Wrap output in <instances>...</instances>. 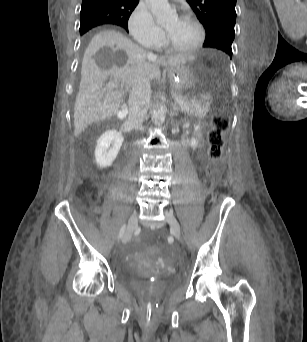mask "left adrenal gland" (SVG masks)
<instances>
[{"label":"left adrenal gland","mask_w":307,"mask_h":342,"mask_svg":"<svg viewBox=\"0 0 307 342\" xmlns=\"http://www.w3.org/2000/svg\"><path fill=\"white\" fill-rule=\"evenodd\" d=\"M172 108H173V114H174V116H178V114H177V112H178V106H177V104H173Z\"/></svg>","instance_id":"obj_1"}]
</instances>
